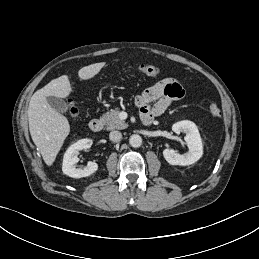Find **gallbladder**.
<instances>
[{"instance_id": "obj_1", "label": "gallbladder", "mask_w": 259, "mask_h": 259, "mask_svg": "<svg viewBox=\"0 0 259 259\" xmlns=\"http://www.w3.org/2000/svg\"><path fill=\"white\" fill-rule=\"evenodd\" d=\"M47 102L53 109L60 113H66L68 111V105L61 98L49 96L47 97Z\"/></svg>"}]
</instances>
